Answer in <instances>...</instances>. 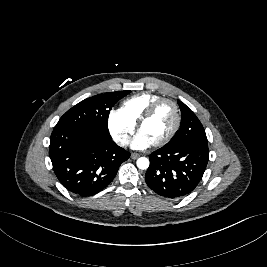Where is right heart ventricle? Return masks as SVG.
<instances>
[{
	"mask_svg": "<svg viewBox=\"0 0 267 267\" xmlns=\"http://www.w3.org/2000/svg\"><path fill=\"white\" fill-rule=\"evenodd\" d=\"M160 98V95L149 92L137 94L124 100L121 110L131 122L136 124L147 108Z\"/></svg>",
	"mask_w": 267,
	"mask_h": 267,
	"instance_id": "obj_1",
	"label": "right heart ventricle"
}]
</instances>
